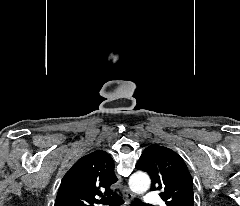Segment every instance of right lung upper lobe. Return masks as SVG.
I'll return each mask as SVG.
<instances>
[{"instance_id":"1","label":"right lung upper lobe","mask_w":240,"mask_h":206,"mask_svg":"<svg viewBox=\"0 0 240 206\" xmlns=\"http://www.w3.org/2000/svg\"><path fill=\"white\" fill-rule=\"evenodd\" d=\"M118 178L112 157L94 151L79 159L62 179L54 206H94L96 197L112 194Z\"/></svg>"}]
</instances>
